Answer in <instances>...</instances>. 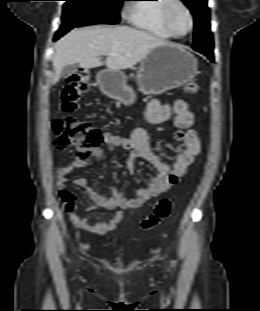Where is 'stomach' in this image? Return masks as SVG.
Wrapping results in <instances>:
<instances>
[{
  "label": "stomach",
  "instance_id": "1",
  "mask_svg": "<svg viewBox=\"0 0 260 311\" xmlns=\"http://www.w3.org/2000/svg\"><path fill=\"white\" fill-rule=\"evenodd\" d=\"M197 59L177 44L154 47L140 62L137 75L139 90L144 94H160L179 87L198 74ZM101 91L124 104L134 100L133 90L126 85L123 72L105 69L98 73Z\"/></svg>",
  "mask_w": 260,
  "mask_h": 311
}]
</instances>
